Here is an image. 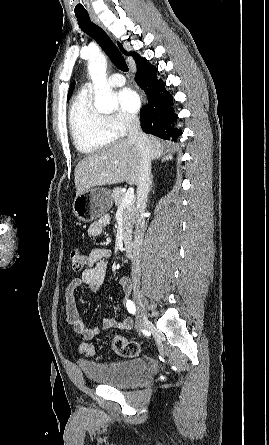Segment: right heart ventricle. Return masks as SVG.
I'll use <instances>...</instances> for the list:
<instances>
[{"instance_id": "e07e8e85", "label": "right heart ventricle", "mask_w": 269, "mask_h": 445, "mask_svg": "<svg viewBox=\"0 0 269 445\" xmlns=\"http://www.w3.org/2000/svg\"><path fill=\"white\" fill-rule=\"evenodd\" d=\"M69 126L76 149L85 155L106 148L117 138L107 116L93 107L88 88H82L74 98L69 111Z\"/></svg>"}]
</instances>
